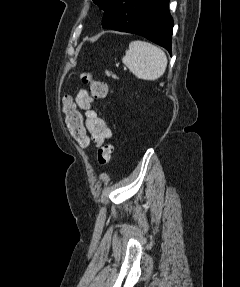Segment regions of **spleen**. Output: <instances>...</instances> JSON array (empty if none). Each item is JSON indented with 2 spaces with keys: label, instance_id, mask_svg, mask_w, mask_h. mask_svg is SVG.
<instances>
[{
  "label": "spleen",
  "instance_id": "obj_1",
  "mask_svg": "<svg viewBox=\"0 0 240 287\" xmlns=\"http://www.w3.org/2000/svg\"><path fill=\"white\" fill-rule=\"evenodd\" d=\"M122 62L137 78L154 81L164 74L167 57L159 47L136 40L129 44Z\"/></svg>",
  "mask_w": 240,
  "mask_h": 287
}]
</instances>
